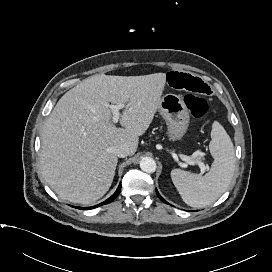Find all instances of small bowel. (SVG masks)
Here are the masks:
<instances>
[{
	"instance_id": "obj_1",
	"label": "small bowel",
	"mask_w": 272,
	"mask_h": 272,
	"mask_svg": "<svg viewBox=\"0 0 272 272\" xmlns=\"http://www.w3.org/2000/svg\"><path fill=\"white\" fill-rule=\"evenodd\" d=\"M166 83L173 89L187 94L207 96L212 92L211 87L198 76L179 71H171L166 75Z\"/></svg>"
}]
</instances>
